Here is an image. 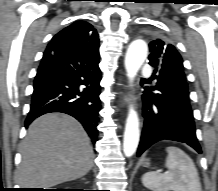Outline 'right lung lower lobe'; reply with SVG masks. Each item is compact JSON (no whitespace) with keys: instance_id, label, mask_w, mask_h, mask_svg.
Returning <instances> with one entry per match:
<instances>
[{"instance_id":"98d812e1","label":"right lung lower lobe","mask_w":218,"mask_h":191,"mask_svg":"<svg viewBox=\"0 0 218 191\" xmlns=\"http://www.w3.org/2000/svg\"><path fill=\"white\" fill-rule=\"evenodd\" d=\"M99 47L79 49L50 42L34 80L31 108L25 127L37 117L61 112L82 123L93 143L98 139L100 111Z\"/></svg>"}]
</instances>
